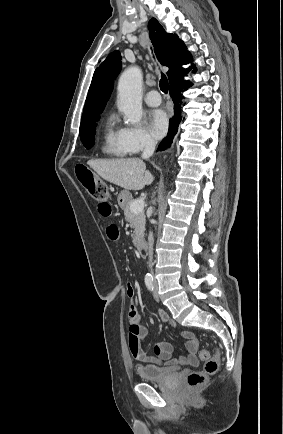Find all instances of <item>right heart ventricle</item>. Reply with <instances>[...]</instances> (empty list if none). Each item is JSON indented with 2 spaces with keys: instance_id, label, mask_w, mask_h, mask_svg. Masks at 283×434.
<instances>
[{
  "instance_id": "obj_1",
  "label": "right heart ventricle",
  "mask_w": 283,
  "mask_h": 434,
  "mask_svg": "<svg viewBox=\"0 0 283 434\" xmlns=\"http://www.w3.org/2000/svg\"><path fill=\"white\" fill-rule=\"evenodd\" d=\"M103 139L102 151L105 154L112 156H125L128 154L122 140V129L116 126L113 117L107 120Z\"/></svg>"
}]
</instances>
